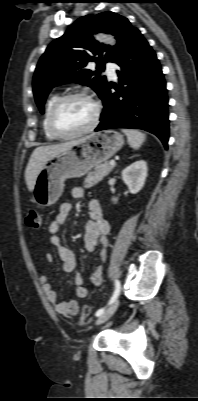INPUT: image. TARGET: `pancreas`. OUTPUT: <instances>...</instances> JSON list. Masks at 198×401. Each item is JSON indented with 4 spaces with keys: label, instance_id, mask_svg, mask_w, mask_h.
Segmentation results:
<instances>
[{
    "label": "pancreas",
    "instance_id": "pancreas-1",
    "mask_svg": "<svg viewBox=\"0 0 198 401\" xmlns=\"http://www.w3.org/2000/svg\"><path fill=\"white\" fill-rule=\"evenodd\" d=\"M114 168L109 163H104L96 166L93 172H90L84 180V187L90 188L100 182L104 177H106Z\"/></svg>",
    "mask_w": 198,
    "mask_h": 401
}]
</instances>
